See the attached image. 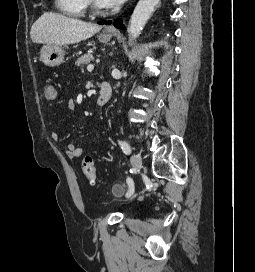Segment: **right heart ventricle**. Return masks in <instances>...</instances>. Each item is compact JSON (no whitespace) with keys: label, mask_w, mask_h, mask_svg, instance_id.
<instances>
[{"label":"right heart ventricle","mask_w":255,"mask_h":272,"mask_svg":"<svg viewBox=\"0 0 255 272\" xmlns=\"http://www.w3.org/2000/svg\"><path fill=\"white\" fill-rule=\"evenodd\" d=\"M56 9L71 17H82L85 13L86 0H55Z\"/></svg>","instance_id":"obj_1"}]
</instances>
